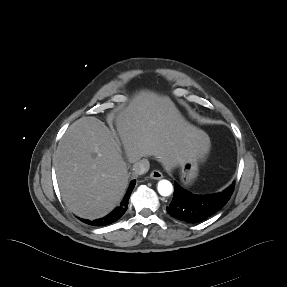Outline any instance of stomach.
Instances as JSON below:
<instances>
[{"mask_svg":"<svg viewBox=\"0 0 287 287\" xmlns=\"http://www.w3.org/2000/svg\"><path fill=\"white\" fill-rule=\"evenodd\" d=\"M198 154L192 153L185 157L178 168L180 169L181 182L184 185H191L198 175Z\"/></svg>","mask_w":287,"mask_h":287,"instance_id":"1","label":"stomach"}]
</instances>
